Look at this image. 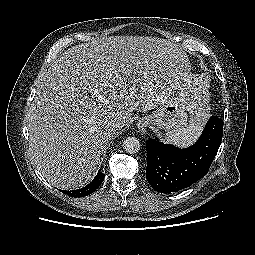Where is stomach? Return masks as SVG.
Instances as JSON below:
<instances>
[{"mask_svg":"<svg viewBox=\"0 0 255 255\" xmlns=\"http://www.w3.org/2000/svg\"><path fill=\"white\" fill-rule=\"evenodd\" d=\"M187 103L178 93L172 94L168 101L161 105L148 118L151 124L167 131L178 130L187 126Z\"/></svg>","mask_w":255,"mask_h":255,"instance_id":"obj_1","label":"stomach"}]
</instances>
